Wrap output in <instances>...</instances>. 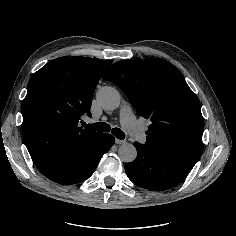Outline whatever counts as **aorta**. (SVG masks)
I'll return each instance as SVG.
<instances>
[{"instance_id": "1", "label": "aorta", "mask_w": 236, "mask_h": 236, "mask_svg": "<svg viewBox=\"0 0 236 236\" xmlns=\"http://www.w3.org/2000/svg\"><path fill=\"white\" fill-rule=\"evenodd\" d=\"M98 103L104 110H114L120 105V94L119 92L110 86L102 87L97 92ZM118 156L123 162H132L137 156L136 148L129 143H123L118 149Z\"/></svg>"}]
</instances>
